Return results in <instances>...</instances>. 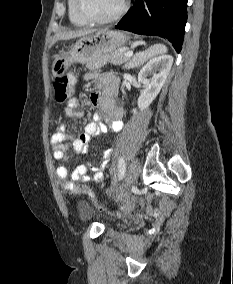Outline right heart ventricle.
I'll return each mask as SVG.
<instances>
[{
    "label": "right heart ventricle",
    "mask_w": 233,
    "mask_h": 284,
    "mask_svg": "<svg viewBox=\"0 0 233 284\" xmlns=\"http://www.w3.org/2000/svg\"><path fill=\"white\" fill-rule=\"evenodd\" d=\"M68 18L75 26H86L88 23L77 12V0H67Z\"/></svg>",
    "instance_id": "right-heart-ventricle-1"
}]
</instances>
